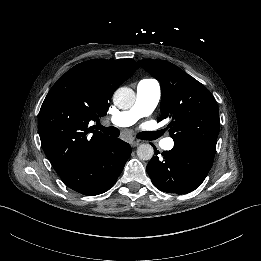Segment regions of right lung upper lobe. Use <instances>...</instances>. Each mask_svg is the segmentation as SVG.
Returning a JSON list of instances; mask_svg holds the SVG:
<instances>
[{"instance_id":"right-lung-upper-lobe-1","label":"right lung upper lobe","mask_w":261,"mask_h":261,"mask_svg":"<svg viewBox=\"0 0 261 261\" xmlns=\"http://www.w3.org/2000/svg\"><path fill=\"white\" fill-rule=\"evenodd\" d=\"M138 68L132 59H94L74 66L53 85L40 109L38 132L60 176L92 157L110 138L89 125L106 115L114 91Z\"/></svg>"}]
</instances>
